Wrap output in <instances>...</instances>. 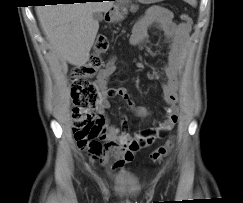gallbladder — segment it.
<instances>
[{"label": "gallbladder", "instance_id": "obj_1", "mask_svg": "<svg viewBox=\"0 0 243 203\" xmlns=\"http://www.w3.org/2000/svg\"><path fill=\"white\" fill-rule=\"evenodd\" d=\"M93 18L96 21H101L102 20V14L100 12H94L93 13Z\"/></svg>", "mask_w": 243, "mask_h": 203}]
</instances>
